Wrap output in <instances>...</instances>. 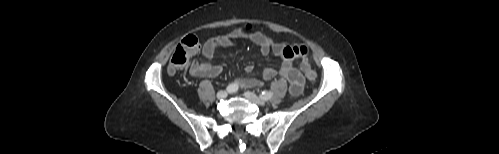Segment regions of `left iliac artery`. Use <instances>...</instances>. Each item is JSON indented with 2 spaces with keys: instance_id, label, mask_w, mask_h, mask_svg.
Returning a JSON list of instances; mask_svg holds the SVG:
<instances>
[{
  "instance_id": "1",
  "label": "left iliac artery",
  "mask_w": 499,
  "mask_h": 154,
  "mask_svg": "<svg viewBox=\"0 0 499 154\" xmlns=\"http://www.w3.org/2000/svg\"><path fill=\"white\" fill-rule=\"evenodd\" d=\"M272 96H273V93H272L271 91H263V92L260 94V97H261L263 100H269Z\"/></svg>"
}]
</instances>
